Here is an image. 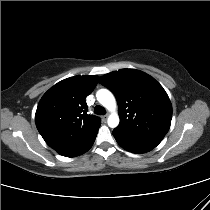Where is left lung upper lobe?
<instances>
[{"label": "left lung upper lobe", "mask_w": 210, "mask_h": 210, "mask_svg": "<svg viewBox=\"0 0 210 210\" xmlns=\"http://www.w3.org/2000/svg\"><path fill=\"white\" fill-rule=\"evenodd\" d=\"M99 82L110 89L118 102L120 124L115 139L155 148L168 132L172 105L163 87L150 75L135 69L108 73Z\"/></svg>", "instance_id": "1"}]
</instances>
